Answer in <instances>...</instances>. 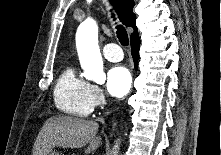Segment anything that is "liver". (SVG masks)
I'll return each instance as SVG.
<instances>
[{
    "label": "liver",
    "instance_id": "liver-1",
    "mask_svg": "<svg viewBox=\"0 0 221 155\" xmlns=\"http://www.w3.org/2000/svg\"><path fill=\"white\" fill-rule=\"evenodd\" d=\"M98 124L78 117L57 115L44 123L33 147V155H47L53 148L87 147L85 153L96 151L102 143L96 136Z\"/></svg>",
    "mask_w": 221,
    "mask_h": 155
}]
</instances>
